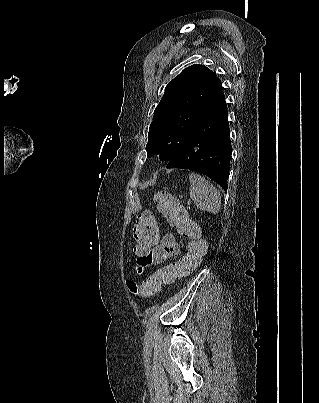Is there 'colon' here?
<instances>
[{"label":"colon","instance_id":"colon-1","mask_svg":"<svg viewBox=\"0 0 319 403\" xmlns=\"http://www.w3.org/2000/svg\"><path fill=\"white\" fill-rule=\"evenodd\" d=\"M153 202L163 212L168 222L176 227L179 234L190 240L188 251L179 262L158 269L142 283L128 281L127 289L131 298L155 295L162 284L172 283L180 276L192 272L207 252V243L199 237L198 226L187 218L184 208L174 196L166 192H158ZM133 227L132 242H130L132 258H139L141 252H147L161 242L162 221L152 218L150 213L133 218Z\"/></svg>","mask_w":319,"mask_h":403}]
</instances>
